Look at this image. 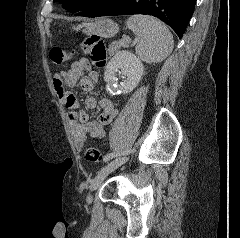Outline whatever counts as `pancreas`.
Instances as JSON below:
<instances>
[{"label":"pancreas","instance_id":"1","mask_svg":"<svg viewBox=\"0 0 240 238\" xmlns=\"http://www.w3.org/2000/svg\"><path fill=\"white\" fill-rule=\"evenodd\" d=\"M122 47L121 41H114L108 47L109 55L115 54Z\"/></svg>","mask_w":240,"mask_h":238}]
</instances>
